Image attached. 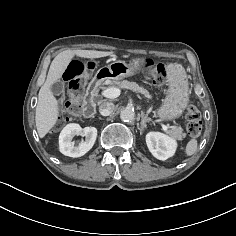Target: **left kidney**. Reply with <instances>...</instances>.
I'll list each match as a JSON object with an SVG mask.
<instances>
[{
	"label": "left kidney",
	"instance_id": "left-kidney-1",
	"mask_svg": "<svg viewBox=\"0 0 236 236\" xmlns=\"http://www.w3.org/2000/svg\"><path fill=\"white\" fill-rule=\"evenodd\" d=\"M146 144L152 155L162 161L173 156L177 148L174 138L160 132H149L146 135Z\"/></svg>",
	"mask_w": 236,
	"mask_h": 236
}]
</instances>
